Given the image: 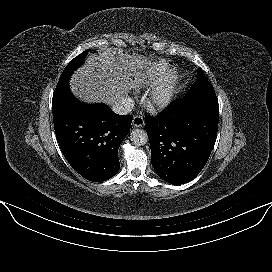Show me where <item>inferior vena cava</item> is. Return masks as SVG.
Instances as JSON below:
<instances>
[{
    "mask_svg": "<svg viewBox=\"0 0 272 272\" xmlns=\"http://www.w3.org/2000/svg\"><path fill=\"white\" fill-rule=\"evenodd\" d=\"M112 110L119 115H127L134 108V101L130 97H122L111 105Z\"/></svg>",
    "mask_w": 272,
    "mask_h": 272,
    "instance_id": "obj_1",
    "label": "inferior vena cava"
}]
</instances>
